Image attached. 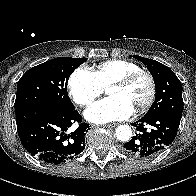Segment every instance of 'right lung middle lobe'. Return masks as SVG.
Segmentation results:
<instances>
[{"label":"right lung middle lobe","instance_id":"dd1d6c3e","mask_svg":"<svg viewBox=\"0 0 196 196\" xmlns=\"http://www.w3.org/2000/svg\"><path fill=\"white\" fill-rule=\"evenodd\" d=\"M86 60L58 57L29 69L18 81L14 104L16 114L38 104L75 109L67 93V81Z\"/></svg>","mask_w":196,"mask_h":196}]
</instances>
